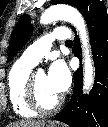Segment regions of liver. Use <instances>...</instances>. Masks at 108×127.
<instances>
[{
  "label": "liver",
  "instance_id": "1",
  "mask_svg": "<svg viewBox=\"0 0 108 127\" xmlns=\"http://www.w3.org/2000/svg\"><path fill=\"white\" fill-rule=\"evenodd\" d=\"M44 121L22 120L8 124L7 127H44Z\"/></svg>",
  "mask_w": 108,
  "mask_h": 127
}]
</instances>
